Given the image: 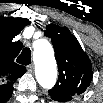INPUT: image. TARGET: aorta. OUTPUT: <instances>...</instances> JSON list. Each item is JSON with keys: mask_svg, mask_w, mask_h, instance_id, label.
I'll return each instance as SVG.
<instances>
[{"mask_svg": "<svg viewBox=\"0 0 103 103\" xmlns=\"http://www.w3.org/2000/svg\"><path fill=\"white\" fill-rule=\"evenodd\" d=\"M33 60L38 83L45 89H51L57 79V64L52 45L41 39L34 47Z\"/></svg>", "mask_w": 103, "mask_h": 103, "instance_id": "obj_1", "label": "aorta"}]
</instances>
